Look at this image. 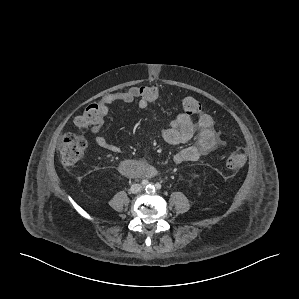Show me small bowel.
Segmentation results:
<instances>
[{
	"instance_id": "obj_1",
	"label": "small bowel",
	"mask_w": 299,
	"mask_h": 299,
	"mask_svg": "<svg viewBox=\"0 0 299 299\" xmlns=\"http://www.w3.org/2000/svg\"><path fill=\"white\" fill-rule=\"evenodd\" d=\"M117 102L128 104L136 102L141 109H147L150 106L140 95L138 87L108 93L99 100L102 116L100 121L91 127V132L94 134L95 143L99 147L113 153H119L120 147L106 139L100 132L109 112V106ZM162 137L172 145L184 144L195 139L192 145L184 147L173 156V162L176 164L197 161L221 142L220 134L213 128L212 117L205 112H199L196 120H192L190 116L184 113L178 114L170 121L169 126L163 130ZM140 165L141 173L139 176L152 177L158 172L150 164L140 162Z\"/></svg>"
}]
</instances>
